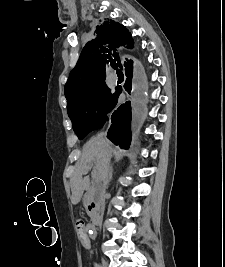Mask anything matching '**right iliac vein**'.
<instances>
[{"mask_svg": "<svg viewBox=\"0 0 225 267\" xmlns=\"http://www.w3.org/2000/svg\"><path fill=\"white\" fill-rule=\"evenodd\" d=\"M100 267H108L107 262L103 258L101 259V266Z\"/></svg>", "mask_w": 225, "mask_h": 267, "instance_id": "1", "label": "right iliac vein"}]
</instances>
